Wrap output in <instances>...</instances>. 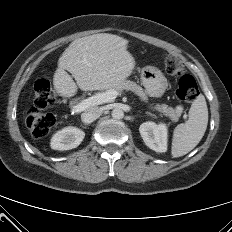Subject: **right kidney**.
Returning a JSON list of instances; mask_svg holds the SVG:
<instances>
[{"instance_id":"right-kidney-1","label":"right kidney","mask_w":232,"mask_h":232,"mask_svg":"<svg viewBox=\"0 0 232 232\" xmlns=\"http://www.w3.org/2000/svg\"><path fill=\"white\" fill-rule=\"evenodd\" d=\"M85 133L76 127H66L55 133L51 139V148L64 151L78 147L83 141Z\"/></svg>"}]
</instances>
